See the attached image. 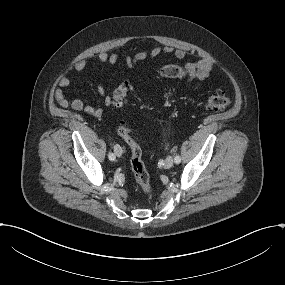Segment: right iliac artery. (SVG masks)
<instances>
[{"mask_svg":"<svg viewBox=\"0 0 285 285\" xmlns=\"http://www.w3.org/2000/svg\"><path fill=\"white\" fill-rule=\"evenodd\" d=\"M108 157H109V160H111V161L115 160V155L111 152H109Z\"/></svg>","mask_w":285,"mask_h":285,"instance_id":"1","label":"right iliac artery"}]
</instances>
